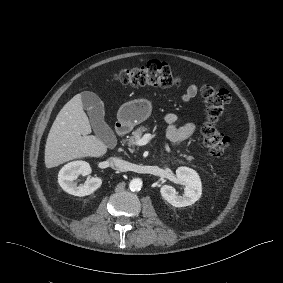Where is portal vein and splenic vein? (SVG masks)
<instances>
[{
  "label": "portal vein and splenic vein",
  "mask_w": 283,
  "mask_h": 283,
  "mask_svg": "<svg viewBox=\"0 0 283 283\" xmlns=\"http://www.w3.org/2000/svg\"><path fill=\"white\" fill-rule=\"evenodd\" d=\"M148 142V140H147V134H145L141 139H139V140H137V144L138 145H144L143 143H147Z\"/></svg>",
  "instance_id": "18ae733b"
}]
</instances>
